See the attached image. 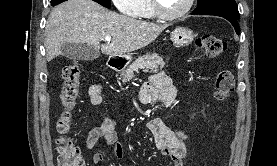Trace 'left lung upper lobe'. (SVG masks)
I'll list each match as a JSON object with an SVG mask.
<instances>
[{"label":"left lung upper lobe","mask_w":277,"mask_h":166,"mask_svg":"<svg viewBox=\"0 0 277 166\" xmlns=\"http://www.w3.org/2000/svg\"><path fill=\"white\" fill-rule=\"evenodd\" d=\"M198 6L192 14L227 16L239 19L235 0H197Z\"/></svg>","instance_id":"obj_1"}]
</instances>
